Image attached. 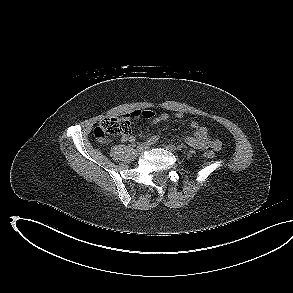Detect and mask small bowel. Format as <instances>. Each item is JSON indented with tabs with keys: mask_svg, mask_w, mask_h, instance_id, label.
Returning a JSON list of instances; mask_svg holds the SVG:
<instances>
[{
	"mask_svg": "<svg viewBox=\"0 0 293 293\" xmlns=\"http://www.w3.org/2000/svg\"><path fill=\"white\" fill-rule=\"evenodd\" d=\"M126 117L130 120H133L138 117H144L145 119L149 120L152 124L166 121L169 118L167 113L155 114L151 110H135L130 112ZM175 117L178 119L182 118V113H177ZM191 128L194 130L193 134L185 138V141L188 145L197 149L204 150L209 149L212 151H217L220 149V141L209 136L207 127L200 125L196 121H192ZM121 140L123 142L133 143L135 142V137L130 134L123 135Z\"/></svg>",
	"mask_w": 293,
	"mask_h": 293,
	"instance_id": "small-bowel-1",
	"label": "small bowel"
}]
</instances>
